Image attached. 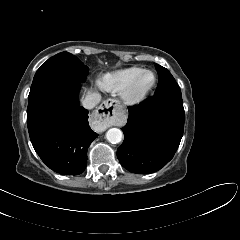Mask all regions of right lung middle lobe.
Here are the masks:
<instances>
[{"label": "right lung middle lobe", "instance_id": "obj_1", "mask_svg": "<svg viewBox=\"0 0 240 240\" xmlns=\"http://www.w3.org/2000/svg\"><path fill=\"white\" fill-rule=\"evenodd\" d=\"M89 68L76 56L61 52L48 59L36 72L28 98L48 84L60 81L84 82Z\"/></svg>", "mask_w": 240, "mask_h": 240}]
</instances>
